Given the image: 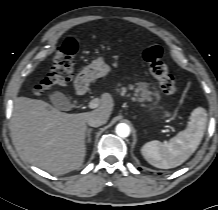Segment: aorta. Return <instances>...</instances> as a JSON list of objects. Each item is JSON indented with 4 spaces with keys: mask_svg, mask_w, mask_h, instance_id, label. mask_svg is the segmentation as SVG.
<instances>
[{
    "mask_svg": "<svg viewBox=\"0 0 218 210\" xmlns=\"http://www.w3.org/2000/svg\"><path fill=\"white\" fill-rule=\"evenodd\" d=\"M116 134L122 138L128 137L130 134V128L125 123H119L116 126Z\"/></svg>",
    "mask_w": 218,
    "mask_h": 210,
    "instance_id": "obj_1",
    "label": "aorta"
}]
</instances>
